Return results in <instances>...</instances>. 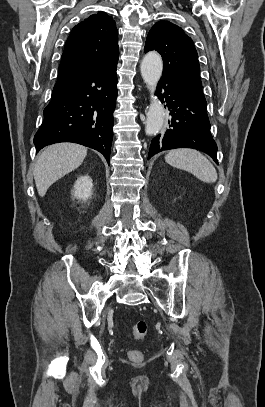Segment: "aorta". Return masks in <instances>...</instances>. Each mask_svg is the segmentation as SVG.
Segmentation results:
<instances>
[{
  "label": "aorta",
  "mask_w": 265,
  "mask_h": 407,
  "mask_svg": "<svg viewBox=\"0 0 265 407\" xmlns=\"http://www.w3.org/2000/svg\"><path fill=\"white\" fill-rule=\"evenodd\" d=\"M163 62L157 52H148L141 63V75L150 91V105L147 112L145 133L155 135L164 123L165 112L162 103L155 96L157 82L162 75Z\"/></svg>",
  "instance_id": "762f6f07"
}]
</instances>
